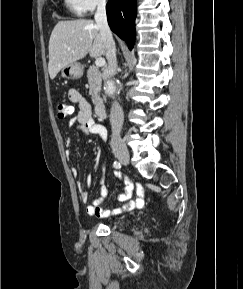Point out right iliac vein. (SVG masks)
<instances>
[{"label":"right iliac vein","mask_w":243,"mask_h":289,"mask_svg":"<svg viewBox=\"0 0 243 289\" xmlns=\"http://www.w3.org/2000/svg\"><path fill=\"white\" fill-rule=\"evenodd\" d=\"M116 157L123 165L129 164L130 156L127 150L118 151Z\"/></svg>","instance_id":"obj_1"}]
</instances>
